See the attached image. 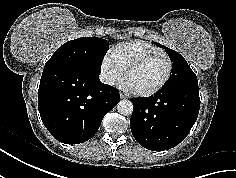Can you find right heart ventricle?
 <instances>
[{
  "instance_id": "1",
  "label": "right heart ventricle",
  "mask_w": 236,
  "mask_h": 178,
  "mask_svg": "<svg viewBox=\"0 0 236 178\" xmlns=\"http://www.w3.org/2000/svg\"><path fill=\"white\" fill-rule=\"evenodd\" d=\"M161 49L143 41H130L117 44L110 51V56L123 71L136 58L150 53L160 52Z\"/></svg>"
}]
</instances>
